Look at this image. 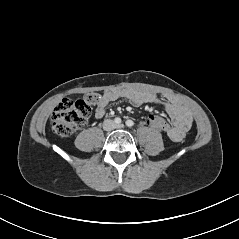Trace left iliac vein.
Here are the masks:
<instances>
[{"label":"left iliac vein","mask_w":239,"mask_h":239,"mask_svg":"<svg viewBox=\"0 0 239 239\" xmlns=\"http://www.w3.org/2000/svg\"><path fill=\"white\" fill-rule=\"evenodd\" d=\"M123 127H124L123 124H119V125H117V128H123Z\"/></svg>","instance_id":"obj_1"}]
</instances>
